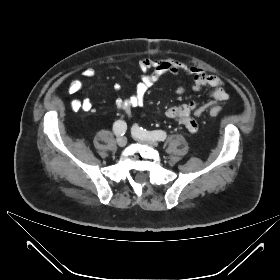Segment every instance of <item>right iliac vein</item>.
I'll list each match as a JSON object with an SVG mask.
<instances>
[{
	"mask_svg": "<svg viewBox=\"0 0 280 280\" xmlns=\"http://www.w3.org/2000/svg\"><path fill=\"white\" fill-rule=\"evenodd\" d=\"M117 144L119 147H125L127 144V138L125 136H120L117 138Z\"/></svg>",
	"mask_w": 280,
	"mask_h": 280,
	"instance_id": "right-iliac-vein-1",
	"label": "right iliac vein"
}]
</instances>
